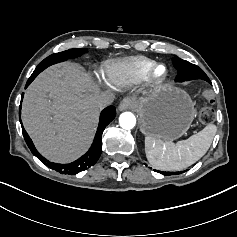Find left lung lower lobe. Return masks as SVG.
<instances>
[{
    "instance_id": "1",
    "label": "left lung lower lobe",
    "mask_w": 237,
    "mask_h": 237,
    "mask_svg": "<svg viewBox=\"0 0 237 237\" xmlns=\"http://www.w3.org/2000/svg\"><path fill=\"white\" fill-rule=\"evenodd\" d=\"M162 174H164V175H171V174H168V173H162ZM175 174H179V173H175Z\"/></svg>"
}]
</instances>
